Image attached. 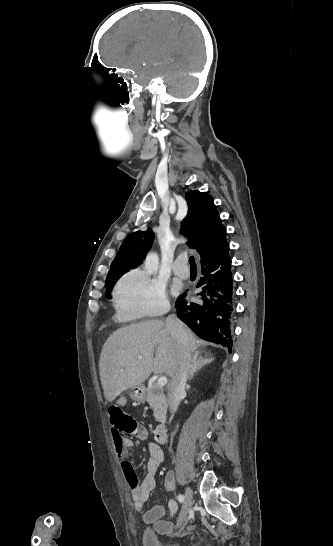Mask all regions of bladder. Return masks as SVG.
Segmentation results:
<instances>
[{
  "label": "bladder",
  "mask_w": 333,
  "mask_h": 546,
  "mask_svg": "<svg viewBox=\"0 0 333 546\" xmlns=\"http://www.w3.org/2000/svg\"><path fill=\"white\" fill-rule=\"evenodd\" d=\"M142 542L144 546H181L177 541L161 542L157 536V527H148L144 529L142 534Z\"/></svg>",
  "instance_id": "1"
}]
</instances>
